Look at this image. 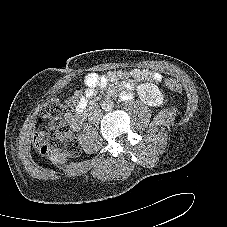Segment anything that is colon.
<instances>
[{
    "label": "colon",
    "instance_id": "1",
    "mask_svg": "<svg viewBox=\"0 0 227 227\" xmlns=\"http://www.w3.org/2000/svg\"><path fill=\"white\" fill-rule=\"evenodd\" d=\"M165 87L172 93L181 90L179 82L173 77H165ZM80 91L76 90L71 97L75 102L79 98ZM65 108L57 98L47 100L41 110V120H47V128H40L34 134L33 145L43 155L61 153L66 156H77L80 146L70 130L69 125L64 120Z\"/></svg>",
    "mask_w": 227,
    "mask_h": 227
}]
</instances>
